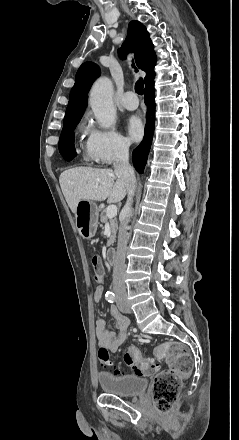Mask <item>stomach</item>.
Wrapping results in <instances>:
<instances>
[{
  "mask_svg": "<svg viewBox=\"0 0 239 440\" xmlns=\"http://www.w3.org/2000/svg\"><path fill=\"white\" fill-rule=\"evenodd\" d=\"M99 208L93 200L78 202L75 212L76 228L83 240L94 238L98 228Z\"/></svg>",
  "mask_w": 239,
  "mask_h": 440,
  "instance_id": "stomach-1",
  "label": "stomach"
}]
</instances>
